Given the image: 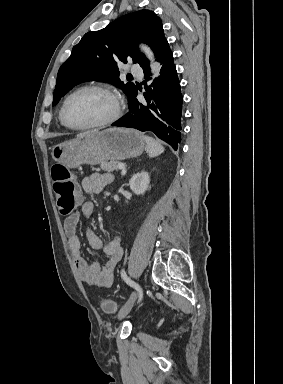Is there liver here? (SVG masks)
Instances as JSON below:
<instances>
[{"label": "liver", "instance_id": "6515ba94", "mask_svg": "<svg viewBox=\"0 0 283 384\" xmlns=\"http://www.w3.org/2000/svg\"><path fill=\"white\" fill-rule=\"evenodd\" d=\"M89 134H94V132H82V134H78L77 138H79V136H89Z\"/></svg>", "mask_w": 283, "mask_h": 384}]
</instances>
